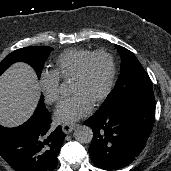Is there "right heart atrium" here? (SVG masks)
I'll return each mask as SVG.
<instances>
[{"label": "right heart atrium", "mask_w": 171, "mask_h": 171, "mask_svg": "<svg viewBox=\"0 0 171 171\" xmlns=\"http://www.w3.org/2000/svg\"><path fill=\"white\" fill-rule=\"evenodd\" d=\"M39 86L44 100L48 104H55L60 97L59 78L53 71H43L39 77Z\"/></svg>", "instance_id": "d8ad5b80"}]
</instances>
